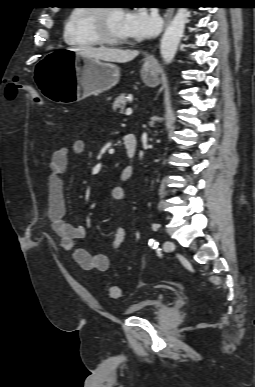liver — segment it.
<instances>
[{
	"label": "liver",
	"instance_id": "liver-1",
	"mask_svg": "<svg viewBox=\"0 0 255 387\" xmlns=\"http://www.w3.org/2000/svg\"><path fill=\"white\" fill-rule=\"evenodd\" d=\"M82 56L105 62L127 63L135 59L139 52L136 50H121L107 47H81L71 49Z\"/></svg>",
	"mask_w": 255,
	"mask_h": 387
}]
</instances>
